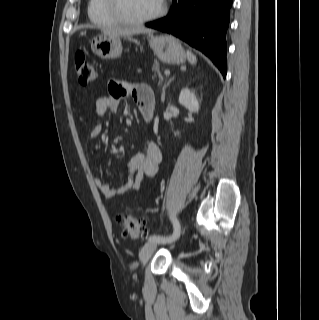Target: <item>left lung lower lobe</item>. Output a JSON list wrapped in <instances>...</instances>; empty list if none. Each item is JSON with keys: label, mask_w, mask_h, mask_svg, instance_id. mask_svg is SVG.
I'll return each instance as SVG.
<instances>
[{"label": "left lung lower lobe", "mask_w": 319, "mask_h": 320, "mask_svg": "<svg viewBox=\"0 0 319 320\" xmlns=\"http://www.w3.org/2000/svg\"><path fill=\"white\" fill-rule=\"evenodd\" d=\"M232 0H173L169 14L146 23L202 51L226 76V31Z\"/></svg>", "instance_id": "obj_1"}]
</instances>
